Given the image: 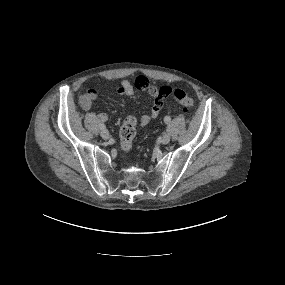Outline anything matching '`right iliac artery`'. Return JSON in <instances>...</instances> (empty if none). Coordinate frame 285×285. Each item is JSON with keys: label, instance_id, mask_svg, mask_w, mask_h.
Wrapping results in <instances>:
<instances>
[{"label": "right iliac artery", "instance_id": "1", "mask_svg": "<svg viewBox=\"0 0 285 285\" xmlns=\"http://www.w3.org/2000/svg\"><path fill=\"white\" fill-rule=\"evenodd\" d=\"M99 127H100L101 130H104V129H105V125H104V124H100Z\"/></svg>", "mask_w": 285, "mask_h": 285}]
</instances>
